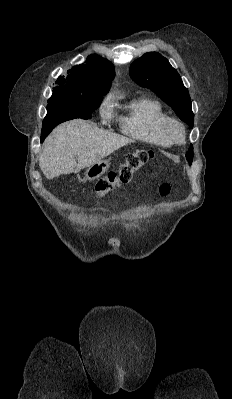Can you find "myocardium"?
Segmentation results:
<instances>
[{
	"instance_id": "obj_1",
	"label": "myocardium",
	"mask_w": 232,
	"mask_h": 399,
	"mask_svg": "<svg viewBox=\"0 0 232 399\" xmlns=\"http://www.w3.org/2000/svg\"><path fill=\"white\" fill-rule=\"evenodd\" d=\"M163 129L173 143H181L186 139L187 132L184 124L174 117L165 118L163 122Z\"/></svg>"
}]
</instances>
